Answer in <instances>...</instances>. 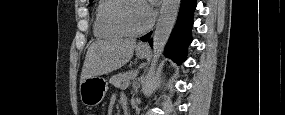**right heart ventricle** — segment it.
<instances>
[{"label": "right heart ventricle", "instance_id": "e07e8e85", "mask_svg": "<svg viewBox=\"0 0 285 115\" xmlns=\"http://www.w3.org/2000/svg\"><path fill=\"white\" fill-rule=\"evenodd\" d=\"M119 0H100L98 1L93 20V32L98 38L118 39L125 34L115 27L108 19L112 8Z\"/></svg>", "mask_w": 285, "mask_h": 115}]
</instances>
